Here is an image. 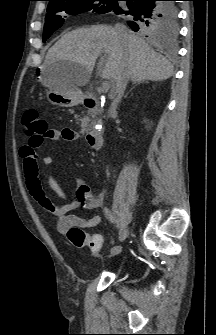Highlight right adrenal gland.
<instances>
[{
  "instance_id": "right-adrenal-gland-1",
  "label": "right adrenal gland",
  "mask_w": 216,
  "mask_h": 335,
  "mask_svg": "<svg viewBox=\"0 0 216 335\" xmlns=\"http://www.w3.org/2000/svg\"><path fill=\"white\" fill-rule=\"evenodd\" d=\"M140 82H136V84H139ZM131 91V90H130ZM129 92L124 96L125 98L128 96Z\"/></svg>"
}]
</instances>
